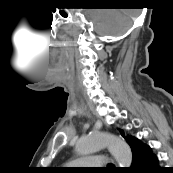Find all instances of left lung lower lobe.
Segmentation results:
<instances>
[{"mask_svg": "<svg viewBox=\"0 0 173 173\" xmlns=\"http://www.w3.org/2000/svg\"><path fill=\"white\" fill-rule=\"evenodd\" d=\"M132 151V166L122 173H156L158 158L149 145L132 137L129 142Z\"/></svg>", "mask_w": 173, "mask_h": 173, "instance_id": "obj_1", "label": "left lung lower lobe"}]
</instances>
